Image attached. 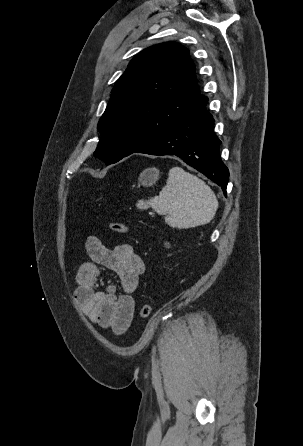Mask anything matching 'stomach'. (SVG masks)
<instances>
[{
    "label": "stomach",
    "mask_w": 303,
    "mask_h": 446,
    "mask_svg": "<svg viewBox=\"0 0 303 446\" xmlns=\"http://www.w3.org/2000/svg\"><path fill=\"white\" fill-rule=\"evenodd\" d=\"M160 171L159 169L155 167L147 168L142 171V173L139 176V184L143 186H152L154 185L158 179H159Z\"/></svg>",
    "instance_id": "stomach-1"
}]
</instances>
